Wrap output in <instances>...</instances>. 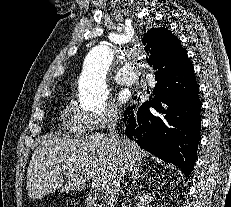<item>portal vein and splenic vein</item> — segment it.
Here are the masks:
<instances>
[{
    "label": "portal vein and splenic vein",
    "instance_id": "18ae733b",
    "mask_svg": "<svg viewBox=\"0 0 231 207\" xmlns=\"http://www.w3.org/2000/svg\"><path fill=\"white\" fill-rule=\"evenodd\" d=\"M91 187H92L93 189L97 190L98 192H101V191H102L101 184H99V183L96 182V181H92Z\"/></svg>",
    "mask_w": 231,
    "mask_h": 207
}]
</instances>
